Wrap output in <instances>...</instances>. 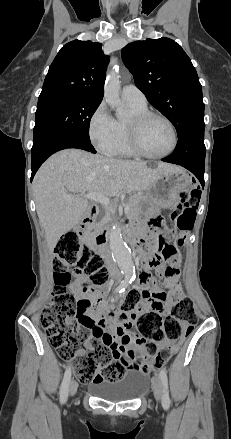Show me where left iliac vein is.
<instances>
[{
	"mask_svg": "<svg viewBox=\"0 0 231 439\" xmlns=\"http://www.w3.org/2000/svg\"><path fill=\"white\" fill-rule=\"evenodd\" d=\"M152 390L155 399L160 402L162 399V384L158 376H154L152 380Z\"/></svg>",
	"mask_w": 231,
	"mask_h": 439,
	"instance_id": "1",
	"label": "left iliac vein"
}]
</instances>
